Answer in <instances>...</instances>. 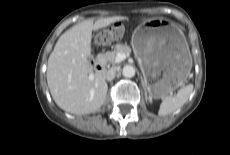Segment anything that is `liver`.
Here are the masks:
<instances>
[{"mask_svg":"<svg viewBox=\"0 0 230 155\" xmlns=\"http://www.w3.org/2000/svg\"><path fill=\"white\" fill-rule=\"evenodd\" d=\"M124 16L87 19L64 32L48 59L47 83L55 103L73 114L97 111L106 99L107 83L102 73H93L88 62L92 31L125 20Z\"/></svg>","mask_w":230,"mask_h":155,"instance_id":"6515ba94","label":"liver"}]
</instances>
